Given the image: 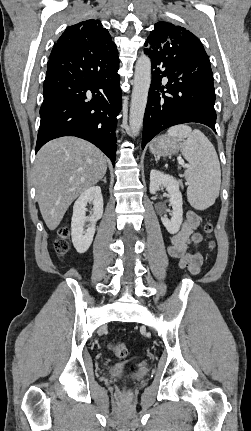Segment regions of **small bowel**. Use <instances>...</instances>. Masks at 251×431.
Here are the masks:
<instances>
[{"mask_svg":"<svg viewBox=\"0 0 251 431\" xmlns=\"http://www.w3.org/2000/svg\"><path fill=\"white\" fill-rule=\"evenodd\" d=\"M200 220L193 211L185 215L181 229L172 236L168 253L170 257L178 261V266L187 269L191 274H197L203 263V257L199 246L203 240L197 232Z\"/></svg>","mask_w":251,"mask_h":431,"instance_id":"obj_1","label":"small bowel"}]
</instances>
